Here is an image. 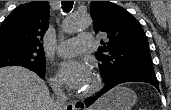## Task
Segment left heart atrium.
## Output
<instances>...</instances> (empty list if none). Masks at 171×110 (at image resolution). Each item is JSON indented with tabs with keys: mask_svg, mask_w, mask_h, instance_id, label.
I'll use <instances>...</instances> for the list:
<instances>
[{
	"mask_svg": "<svg viewBox=\"0 0 171 110\" xmlns=\"http://www.w3.org/2000/svg\"><path fill=\"white\" fill-rule=\"evenodd\" d=\"M58 74L67 88L82 91L91 77V69L85 62L65 60L59 64Z\"/></svg>",
	"mask_w": 171,
	"mask_h": 110,
	"instance_id": "obj_1",
	"label": "left heart atrium"
}]
</instances>
